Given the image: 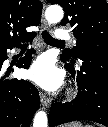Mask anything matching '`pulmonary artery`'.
Returning <instances> with one entry per match:
<instances>
[{"label":"pulmonary artery","instance_id":"e3ab8cb5","mask_svg":"<svg viewBox=\"0 0 108 127\" xmlns=\"http://www.w3.org/2000/svg\"><path fill=\"white\" fill-rule=\"evenodd\" d=\"M56 37L58 40H62V41L71 40V36L69 35V33L65 30H62V29H60L56 32Z\"/></svg>","mask_w":108,"mask_h":127}]
</instances>
